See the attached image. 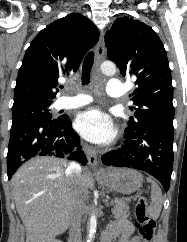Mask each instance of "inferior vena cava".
Returning a JSON list of instances; mask_svg holds the SVG:
<instances>
[{
  "instance_id": "inferior-vena-cava-1",
  "label": "inferior vena cava",
  "mask_w": 187,
  "mask_h": 242,
  "mask_svg": "<svg viewBox=\"0 0 187 242\" xmlns=\"http://www.w3.org/2000/svg\"><path fill=\"white\" fill-rule=\"evenodd\" d=\"M81 174V166L78 163L71 162L67 169L66 175L74 180ZM84 202L82 197H78L73 207V213L69 227V239L68 242H82L81 236V218L83 215Z\"/></svg>"
}]
</instances>
